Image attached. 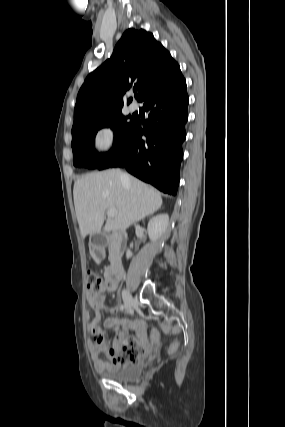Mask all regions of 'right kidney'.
<instances>
[{"label":"right kidney","instance_id":"right-kidney-1","mask_svg":"<svg viewBox=\"0 0 285 427\" xmlns=\"http://www.w3.org/2000/svg\"><path fill=\"white\" fill-rule=\"evenodd\" d=\"M169 224V216L168 214H159L150 219L148 223V235L152 242H156L157 240L163 238L165 231ZM127 258L132 257L131 251L127 250Z\"/></svg>","mask_w":285,"mask_h":427}]
</instances>
